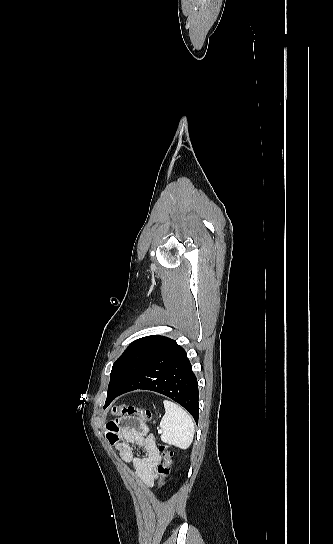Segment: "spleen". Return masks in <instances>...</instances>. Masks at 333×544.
<instances>
[{
    "instance_id": "3e777b00",
    "label": "spleen",
    "mask_w": 333,
    "mask_h": 544,
    "mask_svg": "<svg viewBox=\"0 0 333 544\" xmlns=\"http://www.w3.org/2000/svg\"><path fill=\"white\" fill-rule=\"evenodd\" d=\"M165 414L160 422L161 440L181 449L193 441L195 426L192 417L179 405L164 400Z\"/></svg>"
}]
</instances>
